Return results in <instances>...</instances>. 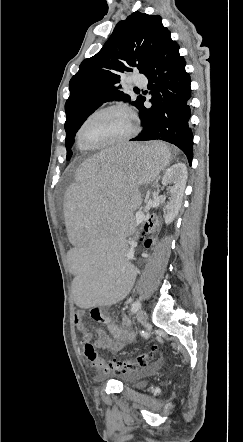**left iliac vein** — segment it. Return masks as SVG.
<instances>
[{
	"mask_svg": "<svg viewBox=\"0 0 243 442\" xmlns=\"http://www.w3.org/2000/svg\"><path fill=\"white\" fill-rule=\"evenodd\" d=\"M136 318L140 324L144 325L147 322L148 315L145 310L139 309L137 311Z\"/></svg>",
	"mask_w": 243,
	"mask_h": 442,
	"instance_id": "4c4485c4",
	"label": "left iliac vein"
}]
</instances>
